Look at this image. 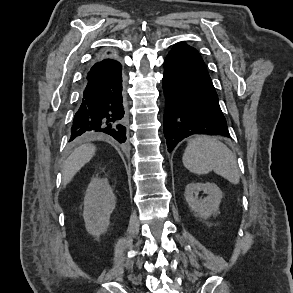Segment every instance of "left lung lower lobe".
<instances>
[{
    "label": "left lung lower lobe",
    "instance_id": "obj_1",
    "mask_svg": "<svg viewBox=\"0 0 293 293\" xmlns=\"http://www.w3.org/2000/svg\"><path fill=\"white\" fill-rule=\"evenodd\" d=\"M164 67V135L168 151L193 134L230 137L211 78L189 45L175 44Z\"/></svg>",
    "mask_w": 293,
    "mask_h": 293
}]
</instances>
